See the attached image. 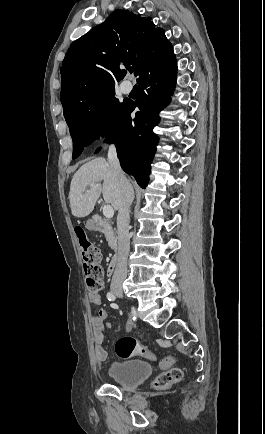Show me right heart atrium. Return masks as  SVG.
I'll return each instance as SVG.
<instances>
[{"mask_svg": "<svg viewBox=\"0 0 265 434\" xmlns=\"http://www.w3.org/2000/svg\"><path fill=\"white\" fill-rule=\"evenodd\" d=\"M95 121L97 124H101L100 127H96V132L92 134V139L95 141H98L102 138V135L98 132H107L108 130H110L111 128H113V125H111L110 123L106 122V118L104 115H97L95 118Z\"/></svg>", "mask_w": 265, "mask_h": 434, "instance_id": "1", "label": "right heart atrium"}]
</instances>
